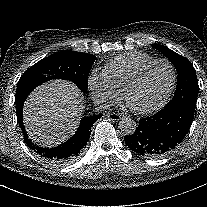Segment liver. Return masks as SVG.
Segmentation results:
<instances>
[{
    "label": "liver",
    "mask_w": 207,
    "mask_h": 207,
    "mask_svg": "<svg viewBox=\"0 0 207 207\" xmlns=\"http://www.w3.org/2000/svg\"><path fill=\"white\" fill-rule=\"evenodd\" d=\"M84 96L67 80H51L36 87L23 107L29 138L41 147H55L75 134L84 109Z\"/></svg>",
    "instance_id": "1"
}]
</instances>
